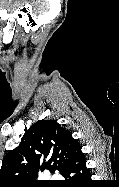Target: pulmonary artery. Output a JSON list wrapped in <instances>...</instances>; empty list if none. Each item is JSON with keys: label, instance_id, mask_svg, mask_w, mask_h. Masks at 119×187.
I'll return each mask as SVG.
<instances>
[{"label": "pulmonary artery", "instance_id": "1", "mask_svg": "<svg viewBox=\"0 0 119 187\" xmlns=\"http://www.w3.org/2000/svg\"><path fill=\"white\" fill-rule=\"evenodd\" d=\"M58 176H53V178H57Z\"/></svg>", "mask_w": 119, "mask_h": 187}]
</instances>
